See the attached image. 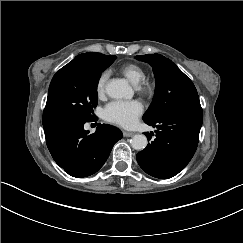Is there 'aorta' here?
Listing matches in <instances>:
<instances>
[{"instance_id":"obj_1","label":"aorta","mask_w":243,"mask_h":243,"mask_svg":"<svg viewBox=\"0 0 243 243\" xmlns=\"http://www.w3.org/2000/svg\"><path fill=\"white\" fill-rule=\"evenodd\" d=\"M106 93L114 99H130L134 95V91L126 79H112L106 85ZM147 144V137L143 134H136L131 139V145L135 150H143Z\"/></svg>"}]
</instances>
